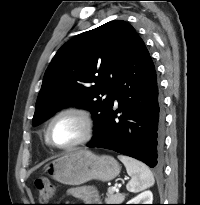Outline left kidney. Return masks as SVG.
I'll return each mask as SVG.
<instances>
[{
  "instance_id": "obj_1",
  "label": "left kidney",
  "mask_w": 200,
  "mask_h": 205,
  "mask_svg": "<svg viewBox=\"0 0 200 205\" xmlns=\"http://www.w3.org/2000/svg\"><path fill=\"white\" fill-rule=\"evenodd\" d=\"M152 201H153V194L150 190H147L140 193L133 199L129 200L127 204H152Z\"/></svg>"
}]
</instances>
